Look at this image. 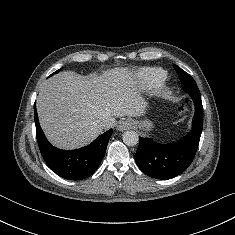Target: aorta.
Returning a JSON list of instances; mask_svg holds the SVG:
<instances>
[{
    "label": "aorta",
    "instance_id": "1",
    "mask_svg": "<svg viewBox=\"0 0 235 235\" xmlns=\"http://www.w3.org/2000/svg\"><path fill=\"white\" fill-rule=\"evenodd\" d=\"M122 138L127 146H135L139 141L138 134L132 130L124 132Z\"/></svg>",
    "mask_w": 235,
    "mask_h": 235
}]
</instances>
